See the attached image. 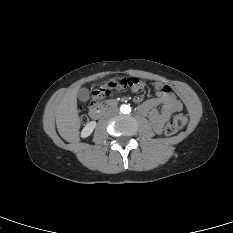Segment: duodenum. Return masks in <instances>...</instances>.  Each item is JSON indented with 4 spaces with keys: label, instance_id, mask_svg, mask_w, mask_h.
<instances>
[{
    "label": "duodenum",
    "instance_id": "1",
    "mask_svg": "<svg viewBox=\"0 0 233 233\" xmlns=\"http://www.w3.org/2000/svg\"><path fill=\"white\" fill-rule=\"evenodd\" d=\"M114 101H107L90 110V117L94 120L100 119L107 111L115 107Z\"/></svg>",
    "mask_w": 233,
    "mask_h": 233
}]
</instances>
